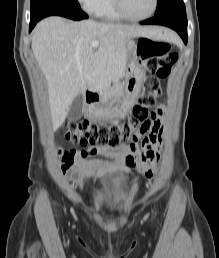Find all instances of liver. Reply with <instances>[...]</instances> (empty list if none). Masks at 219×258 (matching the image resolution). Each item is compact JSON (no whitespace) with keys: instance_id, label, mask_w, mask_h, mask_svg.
Masks as SVG:
<instances>
[{"instance_id":"liver-1","label":"liver","mask_w":219,"mask_h":258,"mask_svg":"<svg viewBox=\"0 0 219 258\" xmlns=\"http://www.w3.org/2000/svg\"><path fill=\"white\" fill-rule=\"evenodd\" d=\"M173 40L162 28L138 27L93 20L70 22L61 17L40 21L31 47L47 86L53 127L65 120L76 96L86 89L103 92L125 75L128 39ZM98 41L97 48L91 47Z\"/></svg>"}]
</instances>
